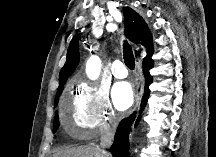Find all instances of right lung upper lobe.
Instances as JSON below:
<instances>
[{"label": "right lung upper lobe", "instance_id": "1", "mask_svg": "<svg viewBox=\"0 0 216 157\" xmlns=\"http://www.w3.org/2000/svg\"><path fill=\"white\" fill-rule=\"evenodd\" d=\"M123 14L125 18V35L135 44L141 43L145 46L147 56L143 59V62L151 58L154 48H153V39L151 32L143 20V18L132 8L125 7L123 9ZM77 35L70 42L68 51H67V59L62 67L59 74V87L57 96H59V92H62L63 86L67 80V78L72 74L79 62V51H78V37ZM56 96V97H57Z\"/></svg>", "mask_w": 216, "mask_h": 157}]
</instances>
